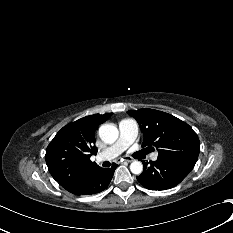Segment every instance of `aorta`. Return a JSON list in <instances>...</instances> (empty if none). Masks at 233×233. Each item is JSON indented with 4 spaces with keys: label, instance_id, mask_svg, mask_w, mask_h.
<instances>
[{
    "label": "aorta",
    "instance_id": "762f6f07",
    "mask_svg": "<svg viewBox=\"0 0 233 233\" xmlns=\"http://www.w3.org/2000/svg\"><path fill=\"white\" fill-rule=\"evenodd\" d=\"M118 135V129L113 124H104L99 128V136L101 140L107 144L114 143ZM130 170L133 174L139 175L143 171V165L140 161H133L130 164Z\"/></svg>",
    "mask_w": 233,
    "mask_h": 233
}]
</instances>
